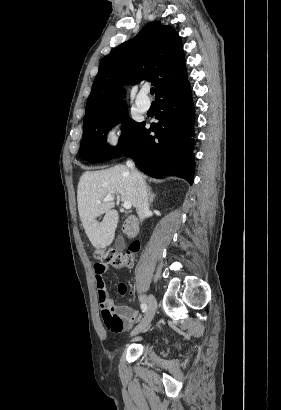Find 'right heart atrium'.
Masks as SVG:
<instances>
[{"instance_id": "d8ad5b80", "label": "right heart atrium", "mask_w": 281, "mask_h": 410, "mask_svg": "<svg viewBox=\"0 0 281 410\" xmlns=\"http://www.w3.org/2000/svg\"><path fill=\"white\" fill-rule=\"evenodd\" d=\"M123 134V124L121 121L113 122L106 132V143L109 146L115 147L119 145Z\"/></svg>"}]
</instances>
